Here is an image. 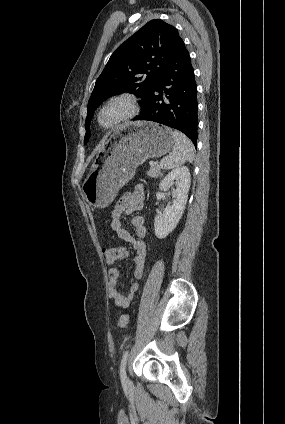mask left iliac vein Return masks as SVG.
<instances>
[{"label":"left iliac vein","mask_w":285,"mask_h":424,"mask_svg":"<svg viewBox=\"0 0 285 424\" xmlns=\"http://www.w3.org/2000/svg\"><path fill=\"white\" fill-rule=\"evenodd\" d=\"M125 382H126L127 384H130V379H129L128 377H126Z\"/></svg>","instance_id":"4c4485c4"}]
</instances>
